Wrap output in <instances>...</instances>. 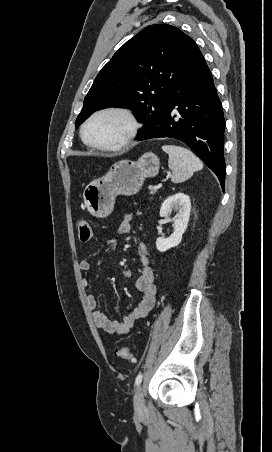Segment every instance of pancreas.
Wrapping results in <instances>:
<instances>
[{
    "instance_id": "cf45deb5",
    "label": "pancreas",
    "mask_w": 272,
    "mask_h": 452,
    "mask_svg": "<svg viewBox=\"0 0 272 452\" xmlns=\"http://www.w3.org/2000/svg\"><path fill=\"white\" fill-rule=\"evenodd\" d=\"M150 193H151V194H154V193H155V190H154V189H151Z\"/></svg>"
}]
</instances>
